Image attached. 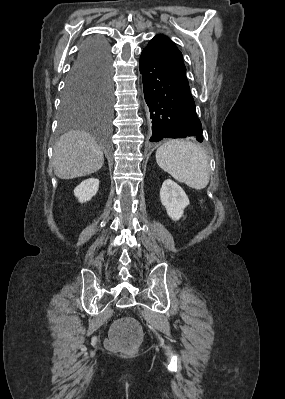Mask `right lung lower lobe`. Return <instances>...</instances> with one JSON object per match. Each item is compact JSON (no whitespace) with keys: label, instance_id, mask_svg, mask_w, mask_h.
Wrapping results in <instances>:
<instances>
[{"label":"right lung lower lobe","instance_id":"right-lung-lower-lobe-1","mask_svg":"<svg viewBox=\"0 0 285 399\" xmlns=\"http://www.w3.org/2000/svg\"><path fill=\"white\" fill-rule=\"evenodd\" d=\"M93 64L111 66L108 43L101 37L90 38L82 44L72 69H79Z\"/></svg>","mask_w":285,"mask_h":399}]
</instances>
